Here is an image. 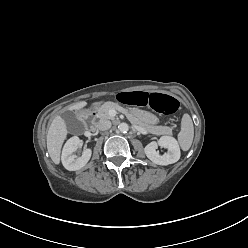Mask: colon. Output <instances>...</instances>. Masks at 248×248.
Segmentation results:
<instances>
[{
	"instance_id": "obj_1",
	"label": "colon",
	"mask_w": 248,
	"mask_h": 248,
	"mask_svg": "<svg viewBox=\"0 0 248 248\" xmlns=\"http://www.w3.org/2000/svg\"><path fill=\"white\" fill-rule=\"evenodd\" d=\"M121 103L150 106L155 111L162 114H173L179 107L178 101L169 95L162 93H148L146 91L121 92L118 95Z\"/></svg>"
}]
</instances>
